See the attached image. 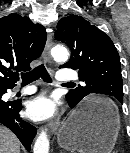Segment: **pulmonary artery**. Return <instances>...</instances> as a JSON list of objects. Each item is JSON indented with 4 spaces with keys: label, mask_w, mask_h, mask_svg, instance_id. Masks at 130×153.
<instances>
[{
    "label": "pulmonary artery",
    "mask_w": 130,
    "mask_h": 153,
    "mask_svg": "<svg viewBox=\"0 0 130 153\" xmlns=\"http://www.w3.org/2000/svg\"><path fill=\"white\" fill-rule=\"evenodd\" d=\"M78 79V74L76 71L72 70H61L57 74V80L63 83H72L73 81ZM36 91L35 86L26 87L20 91H15L12 94L19 92L22 95L33 94Z\"/></svg>",
    "instance_id": "e3ab8cb5"
}]
</instances>
